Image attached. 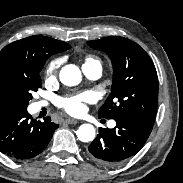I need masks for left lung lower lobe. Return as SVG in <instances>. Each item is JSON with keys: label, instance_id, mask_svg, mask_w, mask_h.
Instances as JSON below:
<instances>
[{"label": "left lung lower lobe", "instance_id": "0a47b994", "mask_svg": "<svg viewBox=\"0 0 183 183\" xmlns=\"http://www.w3.org/2000/svg\"><path fill=\"white\" fill-rule=\"evenodd\" d=\"M114 120L116 126L113 129L100 128L87 150L90 159L107 167L118 165L135 155L147 141L154 124L132 115Z\"/></svg>", "mask_w": 183, "mask_h": 183}]
</instances>
